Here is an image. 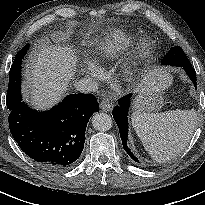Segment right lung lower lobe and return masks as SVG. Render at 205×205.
I'll use <instances>...</instances> for the list:
<instances>
[{"label": "right lung lower lobe", "mask_w": 205, "mask_h": 205, "mask_svg": "<svg viewBox=\"0 0 205 205\" xmlns=\"http://www.w3.org/2000/svg\"><path fill=\"white\" fill-rule=\"evenodd\" d=\"M99 111L91 94H71L49 111L38 112L20 102L9 114L15 141L30 158L47 170L73 166L85 141L90 116Z\"/></svg>", "instance_id": "obj_1"}]
</instances>
